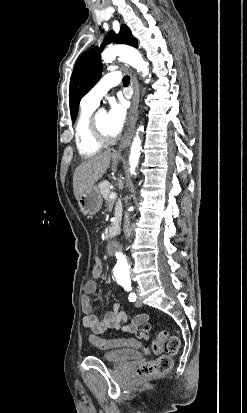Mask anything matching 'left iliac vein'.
I'll return each instance as SVG.
<instances>
[{
  "label": "left iliac vein",
  "mask_w": 247,
  "mask_h": 413,
  "mask_svg": "<svg viewBox=\"0 0 247 413\" xmlns=\"http://www.w3.org/2000/svg\"><path fill=\"white\" fill-rule=\"evenodd\" d=\"M137 294H138V292H137ZM135 306H136V307H141V306H142V301H141V299H140L139 296H138V299H137L136 302H135Z\"/></svg>",
  "instance_id": "left-iliac-vein-1"
}]
</instances>
